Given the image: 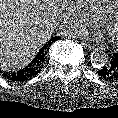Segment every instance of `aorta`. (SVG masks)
I'll use <instances>...</instances> for the list:
<instances>
[{"label": "aorta", "instance_id": "obj_1", "mask_svg": "<svg viewBox=\"0 0 118 118\" xmlns=\"http://www.w3.org/2000/svg\"><path fill=\"white\" fill-rule=\"evenodd\" d=\"M90 61L94 67L101 68L107 63L108 55L102 50L95 49L90 55Z\"/></svg>", "mask_w": 118, "mask_h": 118}]
</instances>
